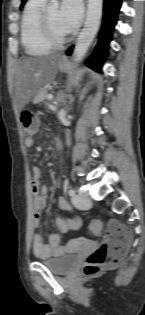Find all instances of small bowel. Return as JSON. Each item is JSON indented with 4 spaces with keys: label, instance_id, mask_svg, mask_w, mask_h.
<instances>
[{
    "label": "small bowel",
    "instance_id": "c3829d8e",
    "mask_svg": "<svg viewBox=\"0 0 145 315\" xmlns=\"http://www.w3.org/2000/svg\"><path fill=\"white\" fill-rule=\"evenodd\" d=\"M34 145L33 137L25 140V146L30 148ZM41 171L39 167L34 166L31 169V190L34 196V214H33V226L38 227L40 225V218L42 211L46 205V199L48 197V189L40 182ZM59 208L71 216L67 219L56 218L55 225L59 232L66 233L69 230H76L81 225L80 218L73 214L72 208L69 203L63 198L58 200ZM33 252L39 258H46L49 256H61L65 252V248L61 245V236L56 233L48 235V240L45 241L41 234L35 233L33 235Z\"/></svg>",
    "mask_w": 145,
    "mask_h": 315
}]
</instances>
